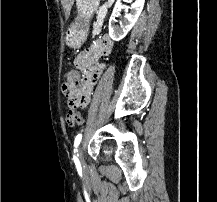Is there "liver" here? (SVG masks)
Returning <instances> with one entry per match:
<instances>
[{"label": "liver", "mask_w": 217, "mask_h": 202, "mask_svg": "<svg viewBox=\"0 0 217 202\" xmlns=\"http://www.w3.org/2000/svg\"><path fill=\"white\" fill-rule=\"evenodd\" d=\"M62 6H64L66 16H70L71 8L74 4V0H61Z\"/></svg>", "instance_id": "liver-1"}]
</instances>
